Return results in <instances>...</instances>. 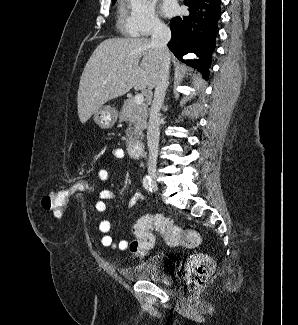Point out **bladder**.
I'll use <instances>...</instances> for the list:
<instances>
[{
	"mask_svg": "<svg viewBox=\"0 0 298 325\" xmlns=\"http://www.w3.org/2000/svg\"><path fill=\"white\" fill-rule=\"evenodd\" d=\"M122 276L128 281H145L157 284H170L169 277L164 273L161 260L157 256L144 259L121 270Z\"/></svg>",
	"mask_w": 298,
	"mask_h": 325,
	"instance_id": "obj_1",
	"label": "bladder"
}]
</instances>
